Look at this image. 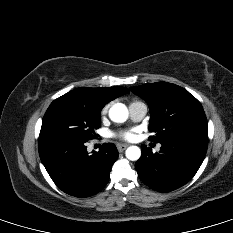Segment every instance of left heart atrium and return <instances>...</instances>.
<instances>
[{"mask_svg": "<svg viewBox=\"0 0 233 233\" xmlns=\"http://www.w3.org/2000/svg\"><path fill=\"white\" fill-rule=\"evenodd\" d=\"M119 137L126 141H132L136 138V130H126L119 134Z\"/></svg>", "mask_w": 233, "mask_h": 233, "instance_id": "left-heart-atrium-1", "label": "left heart atrium"}]
</instances>
